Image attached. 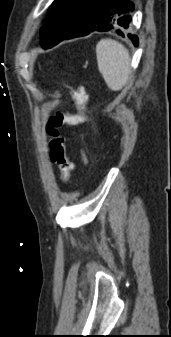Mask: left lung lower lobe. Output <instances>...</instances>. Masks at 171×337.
<instances>
[{
    "label": "left lung lower lobe",
    "instance_id": "0a47b994",
    "mask_svg": "<svg viewBox=\"0 0 171 337\" xmlns=\"http://www.w3.org/2000/svg\"><path fill=\"white\" fill-rule=\"evenodd\" d=\"M134 4L128 0H85L80 16L71 31L61 39H70L88 35L93 31L116 30L123 36V31L129 28L130 12ZM135 46H138V37L128 34Z\"/></svg>",
    "mask_w": 171,
    "mask_h": 337
}]
</instances>
